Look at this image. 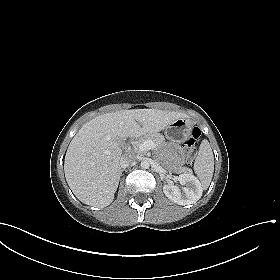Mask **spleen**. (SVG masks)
Listing matches in <instances>:
<instances>
[{
  "instance_id": "3e777b00",
  "label": "spleen",
  "mask_w": 280,
  "mask_h": 280,
  "mask_svg": "<svg viewBox=\"0 0 280 280\" xmlns=\"http://www.w3.org/2000/svg\"><path fill=\"white\" fill-rule=\"evenodd\" d=\"M194 171L203 189H207L214 172V156L207 139H204L200 144L198 156L194 162Z\"/></svg>"
}]
</instances>
